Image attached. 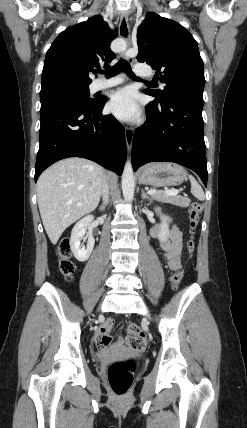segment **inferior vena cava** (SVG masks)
<instances>
[{
  "mask_svg": "<svg viewBox=\"0 0 247 428\" xmlns=\"http://www.w3.org/2000/svg\"><path fill=\"white\" fill-rule=\"evenodd\" d=\"M108 194H109L108 184H107L106 179L104 178L103 187H102V196H103L104 203H108Z\"/></svg>",
  "mask_w": 247,
  "mask_h": 428,
  "instance_id": "inferior-vena-cava-1",
  "label": "inferior vena cava"
}]
</instances>
